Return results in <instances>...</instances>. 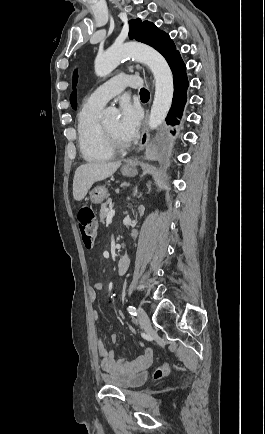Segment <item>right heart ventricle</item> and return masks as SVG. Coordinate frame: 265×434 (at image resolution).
Returning <instances> with one entry per match:
<instances>
[{"instance_id":"right-heart-ventricle-1","label":"right heart ventricle","mask_w":265,"mask_h":434,"mask_svg":"<svg viewBox=\"0 0 265 434\" xmlns=\"http://www.w3.org/2000/svg\"><path fill=\"white\" fill-rule=\"evenodd\" d=\"M103 105L84 100L76 114L80 152L89 164H101L114 157L104 124L99 120Z\"/></svg>"}]
</instances>
